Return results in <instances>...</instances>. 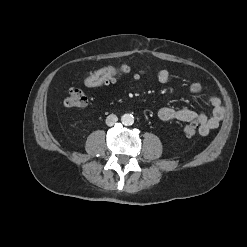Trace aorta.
<instances>
[{
    "instance_id": "762f6f07",
    "label": "aorta",
    "mask_w": 247,
    "mask_h": 247,
    "mask_svg": "<svg viewBox=\"0 0 247 247\" xmlns=\"http://www.w3.org/2000/svg\"><path fill=\"white\" fill-rule=\"evenodd\" d=\"M121 122L124 125H132L134 123V117L132 114H124L121 116Z\"/></svg>"
}]
</instances>
